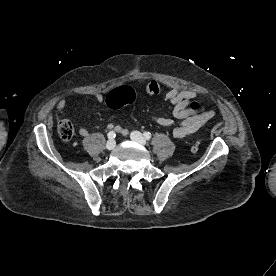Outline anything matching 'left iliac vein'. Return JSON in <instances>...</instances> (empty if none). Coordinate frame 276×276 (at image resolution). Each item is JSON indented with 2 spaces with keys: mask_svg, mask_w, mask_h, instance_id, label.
Instances as JSON below:
<instances>
[{
  "mask_svg": "<svg viewBox=\"0 0 276 276\" xmlns=\"http://www.w3.org/2000/svg\"><path fill=\"white\" fill-rule=\"evenodd\" d=\"M130 137L134 142H137L141 145H146V139L144 138V136L140 132L132 131L131 134H130Z\"/></svg>",
  "mask_w": 276,
  "mask_h": 276,
  "instance_id": "1",
  "label": "left iliac vein"
}]
</instances>
